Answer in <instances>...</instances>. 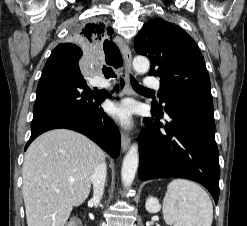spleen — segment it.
Returning <instances> with one entry per match:
<instances>
[{
    "instance_id": "spleen-1",
    "label": "spleen",
    "mask_w": 247,
    "mask_h": 226,
    "mask_svg": "<svg viewBox=\"0 0 247 226\" xmlns=\"http://www.w3.org/2000/svg\"><path fill=\"white\" fill-rule=\"evenodd\" d=\"M164 215L174 226H211L213 206L206 191L192 181L175 179L163 200Z\"/></svg>"
}]
</instances>
